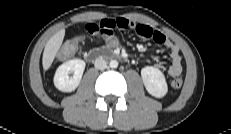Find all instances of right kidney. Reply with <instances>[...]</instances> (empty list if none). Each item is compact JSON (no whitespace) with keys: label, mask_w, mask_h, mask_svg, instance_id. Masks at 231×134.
<instances>
[{"label":"right kidney","mask_w":231,"mask_h":134,"mask_svg":"<svg viewBox=\"0 0 231 134\" xmlns=\"http://www.w3.org/2000/svg\"><path fill=\"white\" fill-rule=\"evenodd\" d=\"M85 66L81 59H72L60 65L54 75L55 87L63 92L74 91L81 81Z\"/></svg>","instance_id":"1"}]
</instances>
